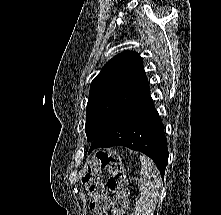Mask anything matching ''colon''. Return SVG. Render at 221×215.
<instances>
[{"mask_svg": "<svg viewBox=\"0 0 221 215\" xmlns=\"http://www.w3.org/2000/svg\"><path fill=\"white\" fill-rule=\"evenodd\" d=\"M105 169L111 173L108 187L115 193L113 199L105 192L102 178ZM82 183L90 197L89 209L94 215H108L111 209L114 215H129L126 175L117 153L106 150L96 151L82 176Z\"/></svg>", "mask_w": 221, "mask_h": 215, "instance_id": "5ec220e1", "label": "colon"}]
</instances>
